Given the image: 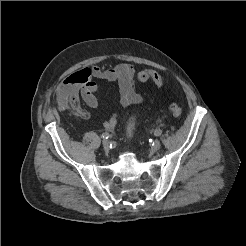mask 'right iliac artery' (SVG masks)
Wrapping results in <instances>:
<instances>
[{
    "instance_id": "1",
    "label": "right iliac artery",
    "mask_w": 246,
    "mask_h": 246,
    "mask_svg": "<svg viewBox=\"0 0 246 246\" xmlns=\"http://www.w3.org/2000/svg\"><path fill=\"white\" fill-rule=\"evenodd\" d=\"M109 133H107V132H105V133H103L102 134V137L104 138V139H108L109 138Z\"/></svg>"
}]
</instances>
